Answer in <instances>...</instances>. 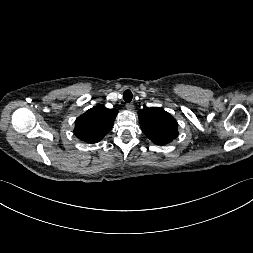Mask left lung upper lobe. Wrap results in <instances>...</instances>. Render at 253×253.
<instances>
[{
	"label": "left lung upper lobe",
	"instance_id": "obj_1",
	"mask_svg": "<svg viewBox=\"0 0 253 253\" xmlns=\"http://www.w3.org/2000/svg\"><path fill=\"white\" fill-rule=\"evenodd\" d=\"M143 133L155 144L171 142L178 136V124L168 112L156 108L145 107L138 112Z\"/></svg>",
	"mask_w": 253,
	"mask_h": 253
}]
</instances>
